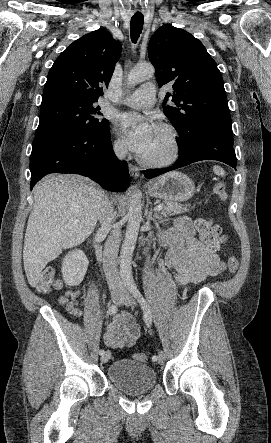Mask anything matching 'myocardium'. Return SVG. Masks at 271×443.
I'll return each mask as SVG.
<instances>
[{"label":"myocardium","mask_w":271,"mask_h":443,"mask_svg":"<svg viewBox=\"0 0 271 443\" xmlns=\"http://www.w3.org/2000/svg\"><path fill=\"white\" fill-rule=\"evenodd\" d=\"M156 128L163 131L170 141V151L167 155L158 158H149L144 156L143 162L152 167H163L174 163L180 156L181 143L177 130L170 124L158 123Z\"/></svg>","instance_id":"1"}]
</instances>
